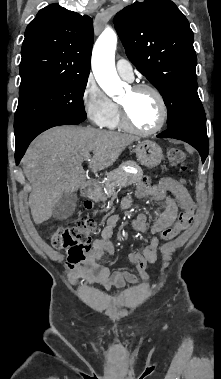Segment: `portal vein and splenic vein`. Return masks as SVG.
I'll return each instance as SVG.
<instances>
[{"instance_id":"portal-vein-and-splenic-vein-1","label":"portal vein and splenic vein","mask_w":221,"mask_h":379,"mask_svg":"<svg viewBox=\"0 0 221 379\" xmlns=\"http://www.w3.org/2000/svg\"><path fill=\"white\" fill-rule=\"evenodd\" d=\"M85 160L88 161V162L91 161L90 157H87Z\"/></svg>"}]
</instances>
